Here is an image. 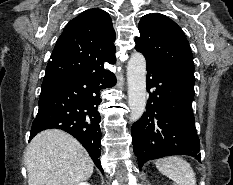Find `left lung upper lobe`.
<instances>
[{
    "mask_svg": "<svg viewBox=\"0 0 233 185\" xmlns=\"http://www.w3.org/2000/svg\"><path fill=\"white\" fill-rule=\"evenodd\" d=\"M140 37L135 38V49L148 64L194 74L191 48L182 29L159 13L143 16L139 22Z\"/></svg>",
    "mask_w": 233,
    "mask_h": 185,
    "instance_id": "left-lung-upper-lobe-1",
    "label": "left lung upper lobe"
}]
</instances>
